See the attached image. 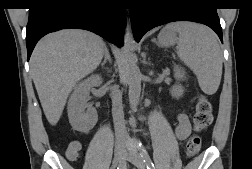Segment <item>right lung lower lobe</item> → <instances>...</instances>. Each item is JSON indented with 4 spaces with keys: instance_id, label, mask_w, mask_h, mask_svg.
<instances>
[{
    "instance_id": "obj_1",
    "label": "right lung lower lobe",
    "mask_w": 252,
    "mask_h": 169,
    "mask_svg": "<svg viewBox=\"0 0 252 169\" xmlns=\"http://www.w3.org/2000/svg\"><path fill=\"white\" fill-rule=\"evenodd\" d=\"M124 19L119 0H36L27 24L28 60L41 37L66 28L92 31L122 47Z\"/></svg>"
}]
</instances>
